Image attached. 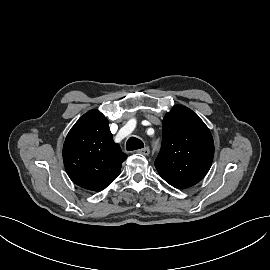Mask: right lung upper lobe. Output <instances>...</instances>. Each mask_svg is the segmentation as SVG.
Returning a JSON list of instances; mask_svg holds the SVG:
<instances>
[{
	"label": "right lung upper lobe",
	"instance_id": "obj_1",
	"mask_svg": "<svg viewBox=\"0 0 270 270\" xmlns=\"http://www.w3.org/2000/svg\"><path fill=\"white\" fill-rule=\"evenodd\" d=\"M127 155L114 143L107 118L98 110L85 113L69 131L63 161L76 185L101 191L119 176Z\"/></svg>",
	"mask_w": 270,
	"mask_h": 270
}]
</instances>
